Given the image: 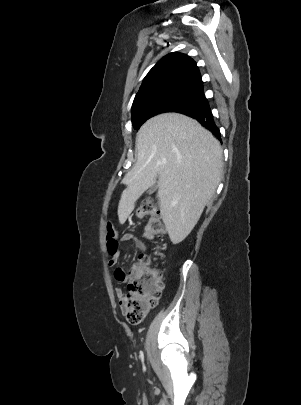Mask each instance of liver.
<instances>
[{"label":"liver","instance_id":"liver-1","mask_svg":"<svg viewBox=\"0 0 301 405\" xmlns=\"http://www.w3.org/2000/svg\"><path fill=\"white\" fill-rule=\"evenodd\" d=\"M137 162L123 184L118 205L124 223L138 198L157 186L160 213L173 244L197 224L221 181L223 154L219 141L199 122L178 113L146 121L136 137Z\"/></svg>","mask_w":301,"mask_h":405}]
</instances>
